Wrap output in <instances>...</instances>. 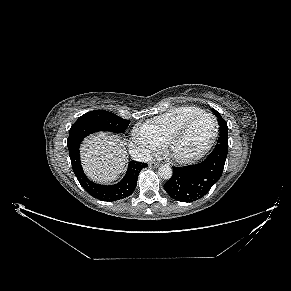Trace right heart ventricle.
<instances>
[{
	"mask_svg": "<svg viewBox=\"0 0 291 291\" xmlns=\"http://www.w3.org/2000/svg\"><path fill=\"white\" fill-rule=\"evenodd\" d=\"M202 112V109L193 106L174 108L144 124L140 131L157 147H161L188 119Z\"/></svg>",
	"mask_w": 291,
	"mask_h": 291,
	"instance_id": "obj_1",
	"label": "right heart ventricle"
}]
</instances>
